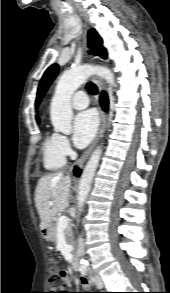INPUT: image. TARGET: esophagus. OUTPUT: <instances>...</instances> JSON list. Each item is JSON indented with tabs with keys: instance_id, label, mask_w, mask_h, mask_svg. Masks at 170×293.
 I'll list each match as a JSON object with an SVG mask.
<instances>
[{
	"instance_id": "1",
	"label": "esophagus",
	"mask_w": 170,
	"mask_h": 293,
	"mask_svg": "<svg viewBox=\"0 0 170 293\" xmlns=\"http://www.w3.org/2000/svg\"><path fill=\"white\" fill-rule=\"evenodd\" d=\"M84 39H85V43L87 44V30L85 31ZM92 81L101 90H104V84H103L102 80L99 77L93 76ZM105 124H106V114L102 109H100V126H99V129H98L97 135H96L94 141L92 142V144L90 145V147L82 154V156L78 160V162H77L78 166H81L85 162V160L91 154L92 150L94 149V147L96 146L98 141L101 139V137L103 135V132H104V129H105Z\"/></svg>"
}]
</instances>
